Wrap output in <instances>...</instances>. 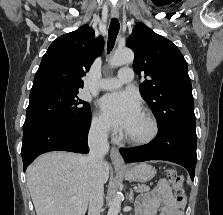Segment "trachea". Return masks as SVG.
Listing matches in <instances>:
<instances>
[{"label":"trachea","instance_id":"1","mask_svg":"<svg viewBox=\"0 0 223 215\" xmlns=\"http://www.w3.org/2000/svg\"><path fill=\"white\" fill-rule=\"evenodd\" d=\"M120 30V24L116 18H112L109 25V36H108V50H112L115 44L116 37Z\"/></svg>","mask_w":223,"mask_h":215}]
</instances>
